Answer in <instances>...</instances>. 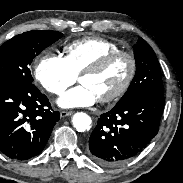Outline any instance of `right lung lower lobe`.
<instances>
[{
	"label": "right lung lower lobe",
	"instance_id": "1",
	"mask_svg": "<svg viewBox=\"0 0 183 183\" xmlns=\"http://www.w3.org/2000/svg\"><path fill=\"white\" fill-rule=\"evenodd\" d=\"M59 119L33 83L0 84V151L9 158L40 154Z\"/></svg>",
	"mask_w": 183,
	"mask_h": 183
}]
</instances>
